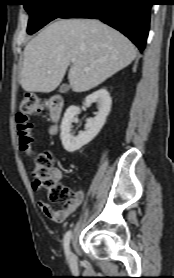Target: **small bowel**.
Returning a JSON list of instances; mask_svg holds the SVG:
<instances>
[{"mask_svg": "<svg viewBox=\"0 0 174 278\" xmlns=\"http://www.w3.org/2000/svg\"><path fill=\"white\" fill-rule=\"evenodd\" d=\"M57 178H61V174L58 171ZM84 197V192L81 189H78L73 193V197L66 201L62 209H55L43 200L38 201V206L41 211L52 221L63 222L80 207L84 201Z\"/></svg>", "mask_w": 174, "mask_h": 278, "instance_id": "c3829d8e", "label": "small bowel"}]
</instances>
